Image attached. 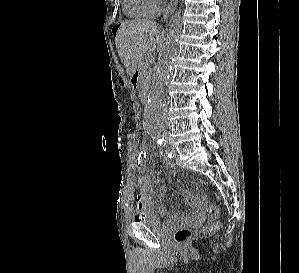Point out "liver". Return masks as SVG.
<instances>
[{"label":"liver","instance_id":"1","mask_svg":"<svg viewBox=\"0 0 299 273\" xmlns=\"http://www.w3.org/2000/svg\"><path fill=\"white\" fill-rule=\"evenodd\" d=\"M159 41L160 29L154 21L133 20L121 24L115 45L128 74H135L140 61L152 55Z\"/></svg>","mask_w":299,"mask_h":273}]
</instances>
